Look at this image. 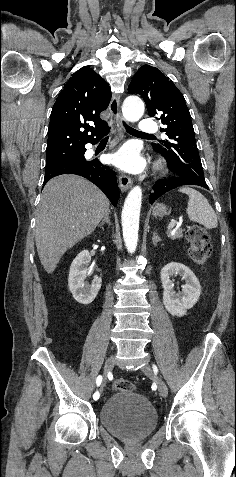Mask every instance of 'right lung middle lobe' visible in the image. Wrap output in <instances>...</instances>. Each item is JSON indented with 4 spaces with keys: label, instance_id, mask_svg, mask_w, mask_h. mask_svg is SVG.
<instances>
[{
    "label": "right lung middle lobe",
    "instance_id": "right-lung-middle-lobe-1",
    "mask_svg": "<svg viewBox=\"0 0 236 477\" xmlns=\"http://www.w3.org/2000/svg\"><path fill=\"white\" fill-rule=\"evenodd\" d=\"M83 161H85L84 154L80 152L67 159H64L63 161L59 163V165L68 164V163H77V162H83ZM46 168H50V167L46 165Z\"/></svg>",
    "mask_w": 236,
    "mask_h": 477
}]
</instances>
